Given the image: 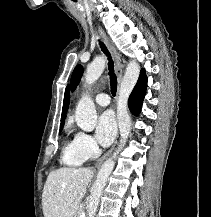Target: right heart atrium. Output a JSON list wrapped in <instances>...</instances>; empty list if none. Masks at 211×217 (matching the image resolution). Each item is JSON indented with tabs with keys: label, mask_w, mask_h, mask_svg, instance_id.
<instances>
[{
	"label": "right heart atrium",
	"mask_w": 211,
	"mask_h": 217,
	"mask_svg": "<svg viewBox=\"0 0 211 217\" xmlns=\"http://www.w3.org/2000/svg\"><path fill=\"white\" fill-rule=\"evenodd\" d=\"M74 141L78 151L85 159L95 158L99 154V147L91 135L78 132L74 137Z\"/></svg>",
	"instance_id": "d8ad5b80"
}]
</instances>
